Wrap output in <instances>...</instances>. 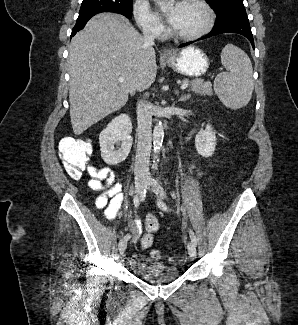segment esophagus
<instances>
[{"label": "esophagus", "mask_w": 298, "mask_h": 325, "mask_svg": "<svg viewBox=\"0 0 298 325\" xmlns=\"http://www.w3.org/2000/svg\"><path fill=\"white\" fill-rule=\"evenodd\" d=\"M162 56L165 57V58H171V56H172V50L167 49V48H164L162 50Z\"/></svg>", "instance_id": "34e87169"}]
</instances>
